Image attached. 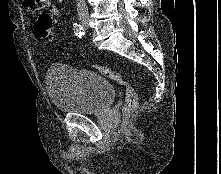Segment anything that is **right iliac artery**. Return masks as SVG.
<instances>
[{"instance_id":"right-iliac-artery-1","label":"right iliac artery","mask_w":221,"mask_h":174,"mask_svg":"<svg viewBox=\"0 0 221 174\" xmlns=\"http://www.w3.org/2000/svg\"><path fill=\"white\" fill-rule=\"evenodd\" d=\"M73 29H74L75 35L79 38L84 34V29H83L82 25H80L78 23H75L73 25Z\"/></svg>"}]
</instances>
